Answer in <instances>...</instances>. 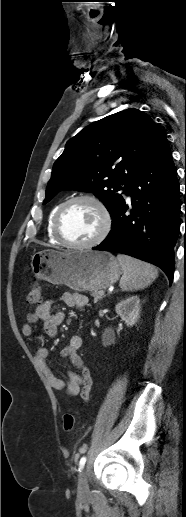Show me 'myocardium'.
Masks as SVG:
<instances>
[{
  "label": "myocardium",
  "instance_id": "f54148a6",
  "mask_svg": "<svg viewBox=\"0 0 186 517\" xmlns=\"http://www.w3.org/2000/svg\"><path fill=\"white\" fill-rule=\"evenodd\" d=\"M79 201H87L92 203L100 212L102 223L99 233L90 241L85 243H74L67 240L61 231V220L64 212L67 210L69 206ZM112 227V218L111 214L106 207V205L96 196L91 194H80L74 196L64 203L60 205L58 208L54 220H53V230L56 238L66 247L74 248V249H89L99 245L110 233Z\"/></svg>",
  "mask_w": 186,
  "mask_h": 517
}]
</instances>
